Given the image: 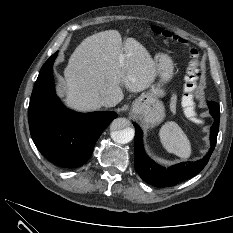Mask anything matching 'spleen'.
Instances as JSON below:
<instances>
[{
	"label": "spleen",
	"instance_id": "3e777b00",
	"mask_svg": "<svg viewBox=\"0 0 233 233\" xmlns=\"http://www.w3.org/2000/svg\"><path fill=\"white\" fill-rule=\"evenodd\" d=\"M191 105L192 104L189 103L190 107L185 109V113L188 117L194 115ZM159 136L163 147L169 153H173L184 159L190 157L192 151L190 141L177 123L173 121L165 123L159 131Z\"/></svg>",
	"mask_w": 233,
	"mask_h": 233
}]
</instances>
